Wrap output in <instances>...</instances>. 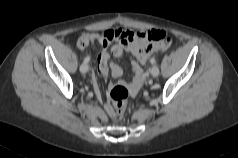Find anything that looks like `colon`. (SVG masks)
<instances>
[{"instance_id": "5ec220e1", "label": "colon", "mask_w": 238, "mask_h": 158, "mask_svg": "<svg viewBox=\"0 0 238 158\" xmlns=\"http://www.w3.org/2000/svg\"><path fill=\"white\" fill-rule=\"evenodd\" d=\"M152 39L156 40L157 51L167 50L171 44L170 40L165 35L153 34ZM129 92L125 85L116 84L112 86L108 93L110 100L108 113L113 119H121L128 106Z\"/></svg>"}]
</instances>
